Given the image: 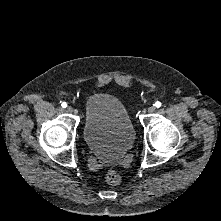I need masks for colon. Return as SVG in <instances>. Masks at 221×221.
<instances>
[{
  "label": "colon",
  "instance_id": "obj_1",
  "mask_svg": "<svg viewBox=\"0 0 221 221\" xmlns=\"http://www.w3.org/2000/svg\"><path fill=\"white\" fill-rule=\"evenodd\" d=\"M105 180L111 185H117L121 181L120 173L116 168L111 167L105 172Z\"/></svg>",
  "mask_w": 221,
  "mask_h": 221
}]
</instances>
